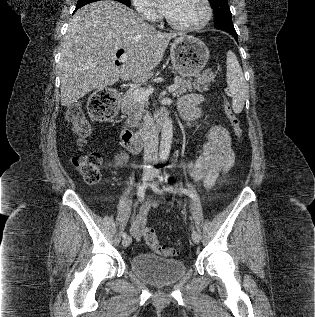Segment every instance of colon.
I'll list each match as a JSON object with an SVG mask.
<instances>
[{"instance_id":"1","label":"colon","mask_w":315,"mask_h":317,"mask_svg":"<svg viewBox=\"0 0 315 317\" xmlns=\"http://www.w3.org/2000/svg\"><path fill=\"white\" fill-rule=\"evenodd\" d=\"M117 95L112 89H102L95 92L89 102V114L97 121L111 119L117 111ZM225 113L234 129L235 134L240 138L242 129L240 122L231 109L230 104L225 101ZM66 121L71 125L80 145L84 144L90 134V124L82 108L78 105L69 107L65 114ZM102 159L99 153L91 152L75 157L74 165L89 184H97L101 179ZM143 238L147 245L156 253L165 256H174L177 251L161 244L152 228H145Z\"/></svg>"}]
</instances>
